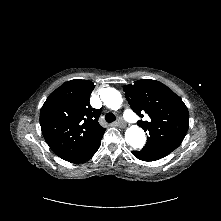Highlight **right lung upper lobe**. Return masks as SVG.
Masks as SVG:
<instances>
[{"label":"right lung upper lobe","instance_id":"1","mask_svg":"<svg viewBox=\"0 0 221 221\" xmlns=\"http://www.w3.org/2000/svg\"><path fill=\"white\" fill-rule=\"evenodd\" d=\"M94 87L88 80L68 81L53 91L41 108L42 134L64 160L79 154L106 130L98 123L101 111L89 102Z\"/></svg>","mask_w":221,"mask_h":221}]
</instances>
